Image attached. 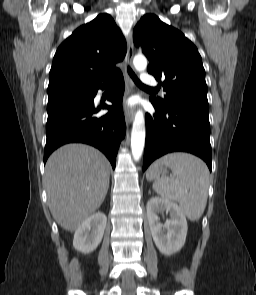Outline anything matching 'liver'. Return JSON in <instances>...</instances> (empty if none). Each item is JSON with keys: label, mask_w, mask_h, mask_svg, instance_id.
Instances as JSON below:
<instances>
[{"label": "liver", "mask_w": 256, "mask_h": 295, "mask_svg": "<svg viewBox=\"0 0 256 295\" xmlns=\"http://www.w3.org/2000/svg\"><path fill=\"white\" fill-rule=\"evenodd\" d=\"M110 164L97 149L67 144L48 158L44 181L50 212L65 230L75 231L103 203Z\"/></svg>", "instance_id": "1"}]
</instances>
